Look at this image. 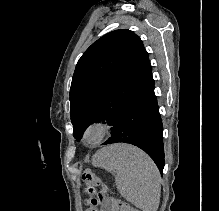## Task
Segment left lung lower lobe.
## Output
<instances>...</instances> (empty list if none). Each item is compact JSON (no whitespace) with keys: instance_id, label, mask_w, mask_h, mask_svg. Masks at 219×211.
Instances as JSON below:
<instances>
[{"instance_id":"0a47b994","label":"left lung lower lobe","mask_w":219,"mask_h":211,"mask_svg":"<svg viewBox=\"0 0 219 211\" xmlns=\"http://www.w3.org/2000/svg\"><path fill=\"white\" fill-rule=\"evenodd\" d=\"M111 137L103 144L128 143L144 150L162 174L164 168L163 125L152 80L132 99Z\"/></svg>"}]
</instances>
